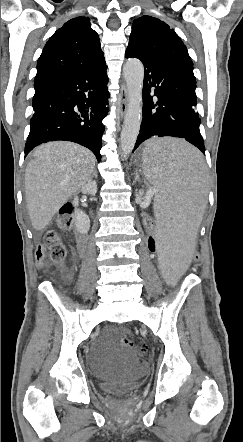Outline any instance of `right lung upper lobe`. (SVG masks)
I'll return each instance as SVG.
<instances>
[{
	"mask_svg": "<svg viewBox=\"0 0 243 442\" xmlns=\"http://www.w3.org/2000/svg\"><path fill=\"white\" fill-rule=\"evenodd\" d=\"M90 25L88 18L76 17L58 29L38 59L35 80L105 64L99 36Z\"/></svg>",
	"mask_w": 243,
	"mask_h": 442,
	"instance_id": "obj_1",
	"label": "right lung upper lobe"
}]
</instances>
